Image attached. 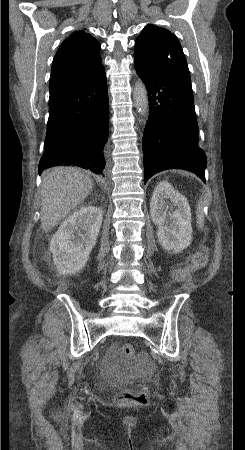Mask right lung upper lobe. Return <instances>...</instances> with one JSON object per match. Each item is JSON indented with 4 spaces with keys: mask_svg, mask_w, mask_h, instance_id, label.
Wrapping results in <instances>:
<instances>
[{
    "mask_svg": "<svg viewBox=\"0 0 245 450\" xmlns=\"http://www.w3.org/2000/svg\"><path fill=\"white\" fill-rule=\"evenodd\" d=\"M100 43L90 34L78 31L59 47L49 82V103L80 86L103 68Z\"/></svg>",
    "mask_w": 245,
    "mask_h": 450,
    "instance_id": "obj_1",
    "label": "right lung upper lobe"
}]
</instances>
